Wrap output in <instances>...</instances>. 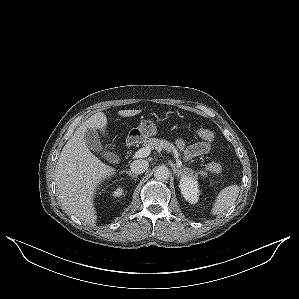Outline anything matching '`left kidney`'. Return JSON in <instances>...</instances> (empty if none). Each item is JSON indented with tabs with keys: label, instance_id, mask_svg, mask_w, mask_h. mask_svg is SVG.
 Returning a JSON list of instances; mask_svg holds the SVG:
<instances>
[{
	"label": "left kidney",
	"instance_id": "5707ae66",
	"mask_svg": "<svg viewBox=\"0 0 299 299\" xmlns=\"http://www.w3.org/2000/svg\"><path fill=\"white\" fill-rule=\"evenodd\" d=\"M179 183L181 194L185 200L191 204L197 203L200 192L198 182L192 177L182 176Z\"/></svg>",
	"mask_w": 299,
	"mask_h": 299
}]
</instances>
